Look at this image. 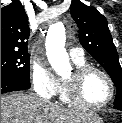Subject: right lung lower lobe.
<instances>
[{
    "instance_id": "right-lung-lower-lobe-1",
    "label": "right lung lower lobe",
    "mask_w": 122,
    "mask_h": 123,
    "mask_svg": "<svg viewBox=\"0 0 122 123\" xmlns=\"http://www.w3.org/2000/svg\"><path fill=\"white\" fill-rule=\"evenodd\" d=\"M30 86L29 81H24L6 74H1V94L17 90H26L29 89Z\"/></svg>"
}]
</instances>
